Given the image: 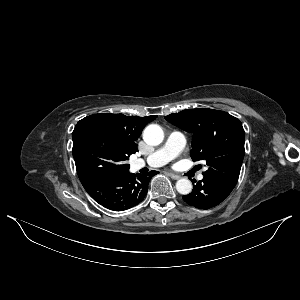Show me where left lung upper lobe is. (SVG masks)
Returning a JSON list of instances; mask_svg holds the SVG:
<instances>
[{"label":"left lung upper lobe","instance_id":"1","mask_svg":"<svg viewBox=\"0 0 300 300\" xmlns=\"http://www.w3.org/2000/svg\"><path fill=\"white\" fill-rule=\"evenodd\" d=\"M165 119L193 134L190 155L193 161L206 162L204 176L236 185L245 153V132L239 119L207 108L183 110Z\"/></svg>","mask_w":300,"mask_h":300}]
</instances>
